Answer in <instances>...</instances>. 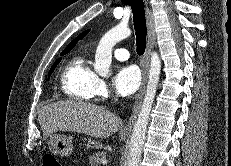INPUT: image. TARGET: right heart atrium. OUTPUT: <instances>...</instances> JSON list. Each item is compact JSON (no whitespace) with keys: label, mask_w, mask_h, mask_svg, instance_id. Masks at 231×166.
Wrapping results in <instances>:
<instances>
[{"label":"right heart atrium","mask_w":231,"mask_h":166,"mask_svg":"<svg viewBox=\"0 0 231 166\" xmlns=\"http://www.w3.org/2000/svg\"><path fill=\"white\" fill-rule=\"evenodd\" d=\"M109 95V87L105 80L100 77L96 78L94 85V96L107 97Z\"/></svg>","instance_id":"right-heart-atrium-1"}]
</instances>
